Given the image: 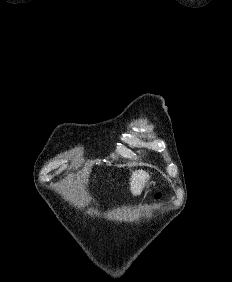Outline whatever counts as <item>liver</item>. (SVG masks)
Returning a JSON list of instances; mask_svg holds the SVG:
<instances>
[{
  "label": "liver",
  "mask_w": 232,
  "mask_h": 282,
  "mask_svg": "<svg viewBox=\"0 0 232 282\" xmlns=\"http://www.w3.org/2000/svg\"><path fill=\"white\" fill-rule=\"evenodd\" d=\"M149 179V174L143 170H136L132 172L130 179V189L133 195L137 196L143 190L146 182Z\"/></svg>",
  "instance_id": "obj_1"
}]
</instances>
